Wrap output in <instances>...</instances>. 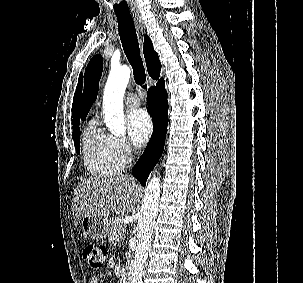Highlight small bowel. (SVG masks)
Segmentation results:
<instances>
[{"label":"small bowel","mask_w":303,"mask_h":283,"mask_svg":"<svg viewBox=\"0 0 303 283\" xmlns=\"http://www.w3.org/2000/svg\"><path fill=\"white\" fill-rule=\"evenodd\" d=\"M115 265H116L115 259H111L108 263L109 268H114ZM90 283H101V280H100L99 276L94 275L90 278Z\"/></svg>","instance_id":"obj_1"}]
</instances>
